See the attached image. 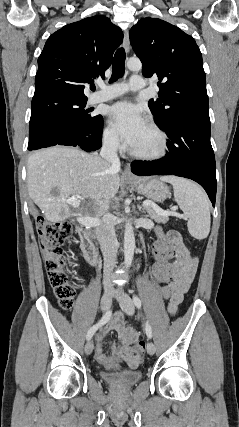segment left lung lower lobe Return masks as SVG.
<instances>
[{"mask_svg":"<svg viewBox=\"0 0 239 427\" xmlns=\"http://www.w3.org/2000/svg\"><path fill=\"white\" fill-rule=\"evenodd\" d=\"M167 136L168 152L156 161H134L132 172L139 176L176 175L192 179L216 199L215 157L210 142V121L180 117L159 126Z\"/></svg>","mask_w":239,"mask_h":427,"instance_id":"obj_1","label":"left lung lower lobe"}]
</instances>
